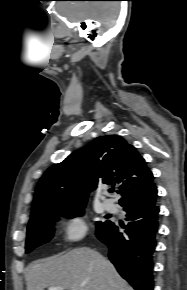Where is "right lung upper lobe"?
Segmentation results:
<instances>
[{"instance_id": "right-lung-upper-lobe-1", "label": "right lung upper lobe", "mask_w": 187, "mask_h": 290, "mask_svg": "<svg viewBox=\"0 0 187 290\" xmlns=\"http://www.w3.org/2000/svg\"><path fill=\"white\" fill-rule=\"evenodd\" d=\"M153 174L136 148L117 135L101 136L50 167L40 179L29 223L48 213L85 207L98 184L119 189L124 208L156 200Z\"/></svg>"}]
</instances>
